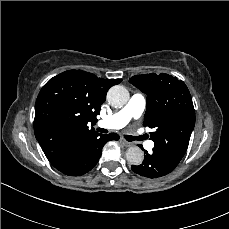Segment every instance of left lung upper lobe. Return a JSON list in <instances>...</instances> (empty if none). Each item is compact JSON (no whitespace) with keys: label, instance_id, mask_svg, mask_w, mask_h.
<instances>
[{"label":"left lung upper lobe","instance_id":"obj_1","mask_svg":"<svg viewBox=\"0 0 229 229\" xmlns=\"http://www.w3.org/2000/svg\"><path fill=\"white\" fill-rule=\"evenodd\" d=\"M129 82L147 95L144 126L153 128V151L165 165H178L188 148L195 125L190 92L182 80L169 74L135 75Z\"/></svg>","mask_w":229,"mask_h":229}]
</instances>
